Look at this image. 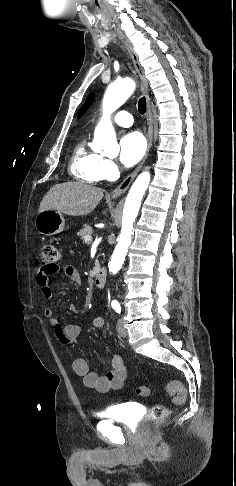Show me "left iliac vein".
<instances>
[{"instance_id": "4c4485c4", "label": "left iliac vein", "mask_w": 236, "mask_h": 486, "mask_svg": "<svg viewBox=\"0 0 236 486\" xmlns=\"http://www.w3.org/2000/svg\"><path fill=\"white\" fill-rule=\"evenodd\" d=\"M116 328H117V332H118V334H119L121 337H126V336H127V330H126V328L124 327V321H123V319H119V320L117 321Z\"/></svg>"}]
</instances>
